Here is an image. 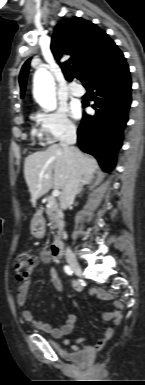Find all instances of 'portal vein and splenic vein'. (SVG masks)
<instances>
[{
  "instance_id": "18ae733b",
  "label": "portal vein and splenic vein",
  "mask_w": 145,
  "mask_h": 385,
  "mask_svg": "<svg viewBox=\"0 0 145 385\" xmlns=\"http://www.w3.org/2000/svg\"><path fill=\"white\" fill-rule=\"evenodd\" d=\"M40 177H43V174L40 175ZM60 195V191L58 189H55L53 192H52V196L53 197H58Z\"/></svg>"
}]
</instances>
